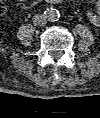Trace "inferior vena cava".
<instances>
[{"label":"inferior vena cava","mask_w":100,"mask_h":118,"mask_svg":"<svg viewBox=\"0 0 100 118\" xmlns=\"http://www.w3.org/2000/svg\"><path fill=\"white\" fill-rule=\"evenodd\" d=\"M32 21H33V24H35L37 26H44L47 23V18L43 14H35L33 16Z\"/></svg>","instance_id":"obj_1"}]
</instances>
